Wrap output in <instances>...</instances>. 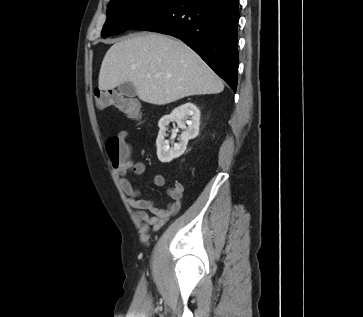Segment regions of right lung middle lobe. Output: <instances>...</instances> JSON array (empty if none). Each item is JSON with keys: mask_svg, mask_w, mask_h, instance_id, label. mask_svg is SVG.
Here are the masks:
<instances>
[{"mask_svg": "<svg viewBox=\"0 0 363 317\" xmlns=\"http://www.w3.org/2000/svg\"><path fill=\"white\" fill-rule=\"evenodd\" d=\"M177 0H111L107 20L101 32L103 38L123 33L166 9Z\"/></svg>", "mask_w": 363, "mask_h": 317, "instance_id": "1", "label": "right lung middle lobe"}]
</instances>
